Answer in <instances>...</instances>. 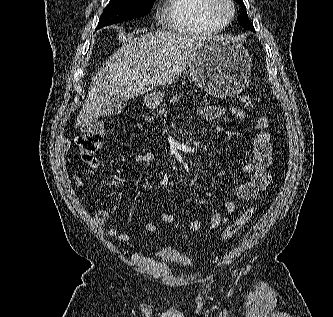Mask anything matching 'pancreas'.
<instances>
[{"mask_svg": "<svg viewBox=\"0 0 333 317\" xmlns=\"http://www.w3.org/2000/svg\"><path fill=\"white\" fill-rule=\"evenodd\" d=\"M180 97H181V96H180ZM178 100H179V97H177V96H173V98L171 99V102H172V103H175V102H177ZM160 112H164V109H161Z\"/></svg>", "mask_w": 333, "mask_h": 317, "instance_id": "cf45deb5", "label": "pancreas"}]
</instances>
